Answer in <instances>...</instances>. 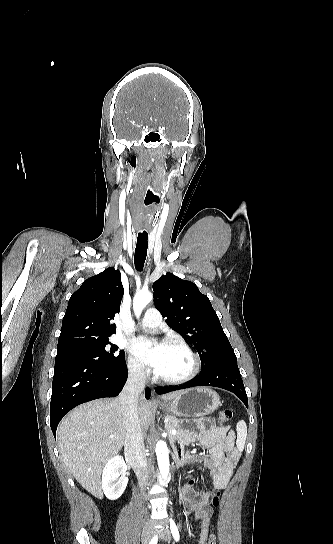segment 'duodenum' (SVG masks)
<instances>
[{"mask_svg":"<svg viewBox=\"0 0 333 544\" xmlns=\"http://www.w3.org/2000/svg\"><path fill=\"white\" fill-rule=\"evenodd\" d=\"M134 454H135V453H134V450H133V449H131V448H127V449H126V457H127V459L130 461V463L133 465V467H134L136 470L139 471V466H138V463H137V461H136V459H135V455H134ZM174 460H175L176 466H179V465L182 463L183 458H182V456H181L180 454H176Z\"/></svg>","mask_w":333,"mask_h":544,"instance_id":"1","label":"duodenum"}]
</instances>
